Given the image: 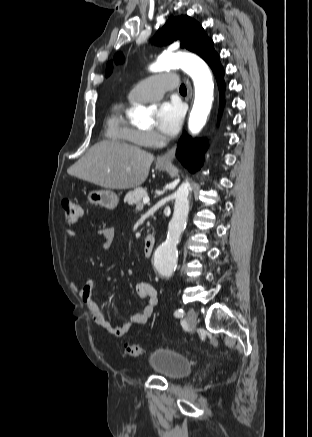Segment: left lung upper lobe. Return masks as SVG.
Here are the masks:
<instances>
[{
	"instance_id": "5c2ea615",
	"label": "left lung upper lobe",
	"mask_w": 312,
	"mask_h": 437,
	"mask_svg": "<svg viewBox=\"0 0 312 437\" xmlns=\"http://www.w3.org/2000/svg\"><path fill=\"white\" fill-rule=\"evenodd\" d=\"M181 38V47L186 48L206 62L216 52L213 49V41L207 37L199 23L188 16L170 17L162 29L158 30L154 42L158 45L170 44ZM123 56L118 53L115 62H122ZM112 63L109 62L106 68V76L112 71Z\"/></svg>"
}]
</instances>
